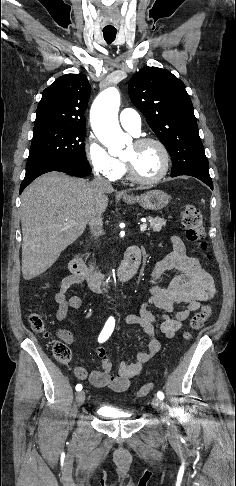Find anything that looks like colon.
<instances>
[{
	"mask_svg": "<svg viewBox=\"0 0 236 486\" xmlns=\"http://www.w3.org/2000/svg\"><path fill=\"white\" fill-rule=\"evenodd\" d=\"M181 220L185 229L186 238L196 243V248L199 251H205L207 244L205 238L204 220L201 210L193 204H188L182 211ZM212 314V309L209 305H204L196 312L190 320V330L184 334L186 340L190 339L193 331H198L208 323ZM30 326L33 331L37 333L45 332V324L43 316L39 313H33L29 317ZM53 353L55 358L61 363H67L71 359V350L68 345L58 340L53 345ZM153 385L147 384L142 386L137 391L138 397H144L150 393Z\"/></svg>",
	"mask_w": 236,
	"mask_h": 486,
	"instance_id": "colon-1",
	"label": "colon"
}]
</instances>
